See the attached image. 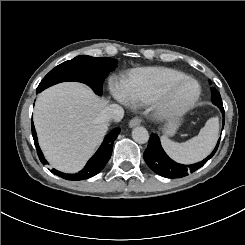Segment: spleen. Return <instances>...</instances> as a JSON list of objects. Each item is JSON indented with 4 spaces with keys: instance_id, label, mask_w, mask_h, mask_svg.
<instances>
[{
    "instance_id": "1",
    "label": "spleen",
    "mask_w": 245,
    "mask_h": 245,
    "mask_svg": "<svg viewBox=\"0 0 245 245\" xmlns=\"http://www.w3.org/2000/svg\"><path fill=\"white\" fill-rule=\"evenodd\" d=\"M219 137V118L207 120L199 134L186 142L178 143L161 137L162 145L168 155L181 164H192L206 158L214 149Z\"/></svg>"
}]
</instances>
